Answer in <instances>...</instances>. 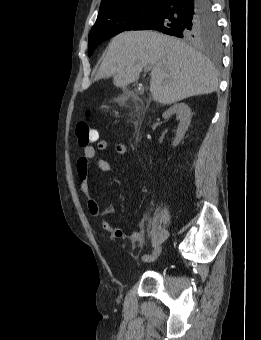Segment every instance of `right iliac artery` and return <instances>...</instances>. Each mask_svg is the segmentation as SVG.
Masks as SVG:
<instances>
[{
  "label": "right iliac artery",
  "instance_id": "82829eb1",
  "mask_svg": "<svg viewBox=\"0 0 261 340\" xmlns=\"http://www.w3.org/2000/svg\"><path fill=\"white\" fill-rule=\"evenodd\" d=\"M142 260L145 261V262H150V260H151V255H149V254L143 255Z\"/></svg>",
  "mask_w": 261,
  "mask_h": 340
}]
</instances>
